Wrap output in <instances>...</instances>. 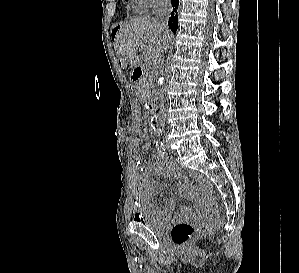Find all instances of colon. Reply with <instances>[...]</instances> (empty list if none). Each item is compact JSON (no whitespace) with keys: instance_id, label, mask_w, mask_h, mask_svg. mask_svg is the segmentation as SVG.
<instances>
[{"instance_id":"colon-1","label":"colon","mask_w":299,"mask_h":273,"mask_svg":"<svg viewBox=\"0 0 299 273\" xmlns=\"http://www.w3.org/2000/svg\"><path fill=\"white\" fill-rule=\"evenodd\" d=\"M151 147V136L149 133L143 135L144 150H149ZM207 212L210 216L208 222L203 223H190V222H178L171 229V240L178 246H184L189 244L196 237L209 233L213 228L219 224L218 213L219 207L214 197H209L206 200Z\"/></svg>"}]
</instances>
